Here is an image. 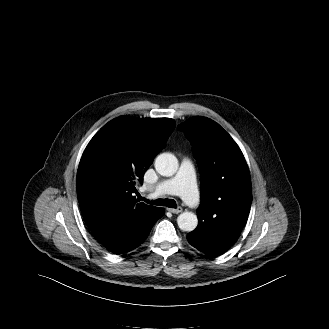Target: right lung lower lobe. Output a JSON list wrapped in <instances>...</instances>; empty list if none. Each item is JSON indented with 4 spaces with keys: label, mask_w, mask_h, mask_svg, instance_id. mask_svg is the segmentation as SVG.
Returning a JSON list of instances; mask_svg holds the SVG:
<instances>
[{
    "label": "right lung lower lobe",
    "mask_w": 329,
    "mask_h": 329,
    "mask_svg": "<svg viewBox=\"0 0 329 329\" xmlns=\"http://www.w3.org/2000/svg\"><path fill=\"white\" fill-rule=\"evenodd\" d=\"M164 213L163 208H156L133 218L115 217L102 222L91 231L93 236L113 254H122L140 246Z\"/></svg>",
    "instance_id": "98d812e1"
}]
</instances>
